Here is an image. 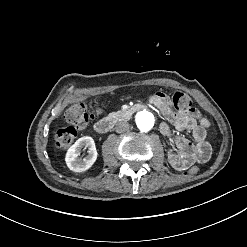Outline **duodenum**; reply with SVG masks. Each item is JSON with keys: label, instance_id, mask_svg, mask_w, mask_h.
Instances as JSON below:
<instances>
[{"label": "duodenum", "instance_id": "obj_1", "mask_svg": "<svg viewBox=\"0 0 247 247\" xmlns=\"http://www.w3.org/2000/svg\"><path fill=\"white\" fill-rule=\"evenodd\" d=\"M143 109H146V106L144 104H136L120 112L119 115L122 118H129L134 112ZM115 121L116 117L100 119L94 125L95 131L98 133H107L112 129Z\"/></svg>", "mask_w": 247, "mask_h": 247}]
</instances>
